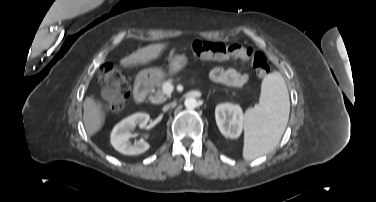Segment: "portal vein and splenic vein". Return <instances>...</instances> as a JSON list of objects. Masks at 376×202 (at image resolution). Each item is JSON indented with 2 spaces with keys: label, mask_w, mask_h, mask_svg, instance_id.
Listing matches in <instances>:
<instances>
[{
  "label": "portal vein and splenic vein",
  "mask_w": 376,
  "mask_h": 202,
  "mask_svg": "<svg viewBox=\"0 0 376 202\" xmlns=\"http://www.w3.org/2000/svg\"><path fill=\"white\" fill-rule=\"evenodd\" d=\"M173 85L169 82H166L163 86V92L167 95H170L173 91Z\"/></svg>",
  "instance_id": "portal-vein-and-splenic-vein-1"
}]
</instances>
